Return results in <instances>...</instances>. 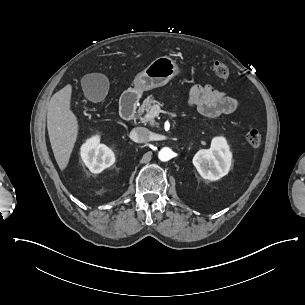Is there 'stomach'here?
<instances>
[{"mask_svg": "<svg viewBox=\"0 0 305 305\" xmlns=\"http://www.w3.org/2000/svg\"><path fill=\"white\" fill-rule=\"evenodd\" d=\"M183 71V67L172 58L158 57L135 76L133 87L128 90L129 96L137 103L144 92L167 85L171 79L182 75Z\"/></svg>", "mask_w": 305, "mask_h": 305, "instance_id": "obj_1", "label": "stomach"}]
</instances>
